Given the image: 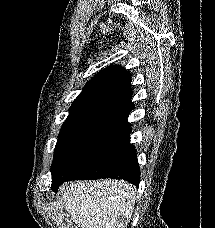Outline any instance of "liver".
Here are the masks:
<instances>
[{
  "label": "liver",
  "mask_w": 215,
  "mask_h": 228,
  "mask_svg": "<svg viewBox=\"0 0 215 228\" xmlns=\"http://www.w3.org/2000/svg\"><path fill=\"white\" fill-rule=\"evenodd\" d=\"M67 214L78 228H127L136 186L124 180L66 182L59 190Z\"/></svg>",
  "instance_id": "obj_1"
}]
</instances>
